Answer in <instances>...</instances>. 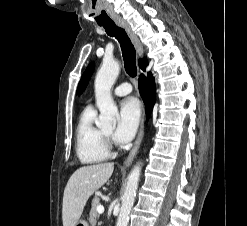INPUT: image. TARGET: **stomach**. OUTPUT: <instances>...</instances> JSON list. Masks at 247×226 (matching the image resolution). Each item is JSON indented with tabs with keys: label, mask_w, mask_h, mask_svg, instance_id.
<instances>
[{
	"label": "stomach",
	"mask_w": 247,
	"mask_h": 226,
	"mask_svg": "<svg viewBox=\"0 0 247 226\" xmlns=\"http://www.w3.org/2000/svg\"><path fill=\"white\" fill-rule=\"evenodd\" d=\"M74 226H88V223L85 220H78Z\"/></svg>",
	"instance_id": "obj_1"
}]
</instances>
